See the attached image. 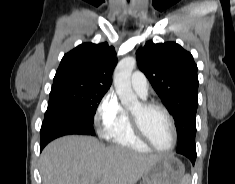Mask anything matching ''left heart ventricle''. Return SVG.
<instances>
[{"label": "left heart ventricle", "instance_id": "b2bd125f", "mask_svg": "<svg viewBox=\"0 0 235 184\" xmlns=\"http://www.w3.org/2000/svg\"><path fill=\"white\" fill-rule=\"evenodd\" d=\"M141 120L154 144L160 149H168L172 143V130L167 115L158 108L143 111L140 103L130 110Z\"/></svg>", "mask_w": 235, "mask_h": 184}]
</instances>
